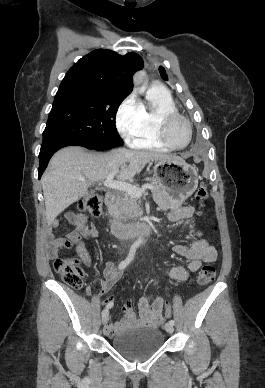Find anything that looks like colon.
Masks as SVG:
<instances>
[{
  "instance_id": "5ec220e1",
  "label": "colon",
  "mask_w": 265,
  "mask_h": 388,
  "mask_svg": "<svg viewBox=\"0 0 265 388\" xmlns=\"http://www.w3.org/2000/svg\"><path fill=\"white\" fill-rule=\"evenodd\" d=\"M196 200L203 204L207 199V189L204 184H200L196 193ZM79 208L90 217H98L103 209V196L95 194L85 197L79 202ZM55 271L62 277L63 281L73 289H80L84 284V274L80 263L76 259L58 258L54 261ZM216 275L214 261L207 262L198 272L196 281L204 286L212 282ZM164 315L171 317L172 309L170 304H164Z\"/></svg>"
}]
</instances>
